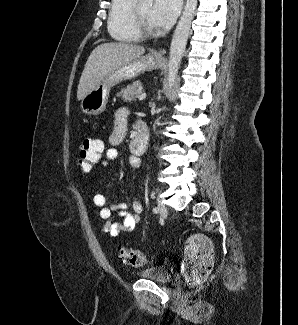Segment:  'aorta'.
<instances>
[{
  "label": "aorta",
  "instance_id": "aorta-1",
  "mask_svg": "<svg viewBox=\"0 0 298 325\" xmlns=\"http://www.w3.org/2000/svg\"><path fill=\"white\" fill-rule=\"evenodd\" d=\"M198 0H186L178 24L173 32L166 74L165 88L169 94L178 76L183 52L186 48L191 22L194 18ZM139 6H152L153 0H138Z\"/></svg>",
  "mask_w": 298,
  "mask_h": 325
}]
</instances>
